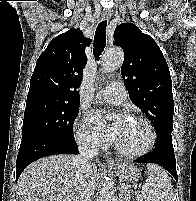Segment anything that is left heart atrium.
I'll list each match as a JSON object with an SVG mask.
<instances>
[{
	"label": "left heart atrium",
	"mask_w": 196,
	"mask_h": 201,
	"mask_svg": "<svg viewBox=\"0 0 196 201\" xmlns=\"http://www.w3.org/2000/svg\"><path fill=\"white\" fill-rule=\"evenodd\" d=\"M90 120L97 131L112 143H115L119 133L127 123V118L123 115H119L111 124L106 125L103 112L98 110L91 113Z\"/></svg>",
	"instance_id": "obj_1"
}]
</instances>
